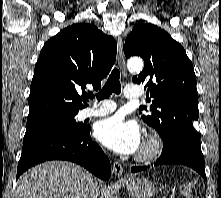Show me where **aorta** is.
<instances>
[{
	"label": "aorta",
	"instance_id": "1",
	"mask_svg": "<svg viewBox=\"0 0 221 198\" xmlns=\"http://www.w3.org/2000/svg\"><path fill=\"white\" fill-rule=\"evenodd\" d=\"M130 72H140L143 67V62L140 58H132L127 63Z\"/></svg>",
	"mask_w": 221,
	"mask_h": 198
}]
</instances>
